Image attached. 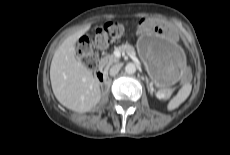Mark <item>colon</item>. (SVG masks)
Here are the masks:
<instances>
[{"instance_id": "5ec220e1", "label": "colon", "mask_w": 230, "mask_h": 155, "mask_svg": "<svg viewBox=\"0 0 230 155\" xmlns=\"http://www.w3.org/2000/svg\"><path fill=\"white\" fill-rule=\"evenodd\" d=\"M123 34L124 30L120 24L106 22L102 27L97 29V32L92 38H89L87 35L80 37L77 52L87 67L94 68L97 63L94 48H106L121 38Z\"/></svg>"}]
</instances>
